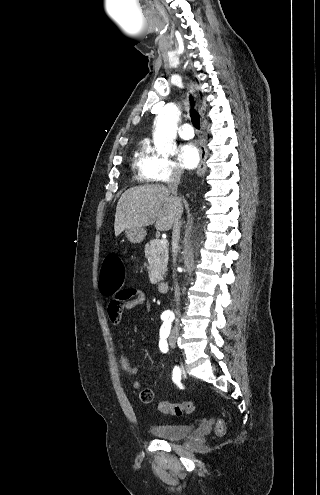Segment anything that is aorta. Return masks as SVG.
<instances>
[{"label": "aorta", "instance_id": "obj_1", "mask_svg": "<svg viewBox=\"0 0 320 495\" xmlns=\"http://www.w3.org/2000/svg\"><path fill=\"white\" fill-rule=\"evenodd\" d=\"M180 114L174 103H168L154 120L153 142L157 153L162 156L173 152Z\"/></svg>", "mask_w": 320, "mask_h": 495}]
</instances>
